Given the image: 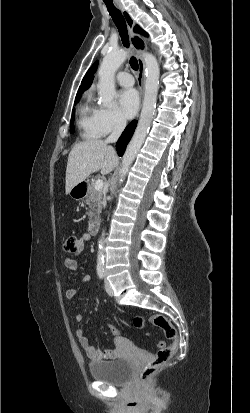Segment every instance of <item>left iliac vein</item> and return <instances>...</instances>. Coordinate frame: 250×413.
<instances>
[{
  "label": "left iliac vein",
  "instance_id": "1",
  "mask_svg": "<svg viewBox=\"0 0 250 413\" xmlns=\"http://www.w3.org/2000/svg\"><path fill=\"white\" fill-rule=\"evenodd\" d=\"M105 290L108 293V295L112 296L113 295V289L107 279H105Z\"/></svg>",
  "mask_w": 250,
  "mask_h": 413
}]
</instances>
